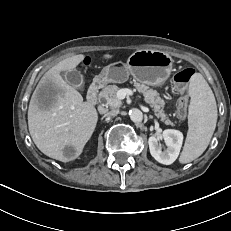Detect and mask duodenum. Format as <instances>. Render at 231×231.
<instances>
[{"label": "duodenum", "mask_w": 231, "mask_h": 231, "mask_svg": "<svg viewBox=\"0 0 231 231\" xmlns=\"http://www.w3.org/2000/svg\"><path fill=\"white\" fill-rule=\"evenodd\" d=\"M104 82L102 79H95L89 87L87 93V102L90 105H96L98 101V93L100 89L103 87Z\"/></svg>", "instance_id": "1"}]
</instances>
